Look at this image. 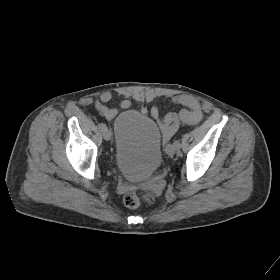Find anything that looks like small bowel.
Instances as JSON below:
<instances>
[{
    "mask_svg": "<svg viewBox=\"0 0 280 280\" xmlns=\"http://www.w3.org/2000/svg\"><path fill=\"white\" fill-rule=\"evenodd\" d=\"M112 99L110 91L103 92L95 103V107L100 115L107 119H112L117 114V110L110 108L107 104ZM175 104L181 105L183 108L178 113H168L164 117L160 116L159 109L153 107L150 110L151 116L158 121V125L165 141L169 140L178 130L180 123L187 125H196L203 118L202 107L198 100L191 96L179 95L173 98ZM131 106L129 100H122L120 107L128 109Z\"/></svg>",
    "mask_w": 280,
    "mask_h": 280,
    "instance_id": "obj_1",
    "label": "small bowel"
}]
</instances>
